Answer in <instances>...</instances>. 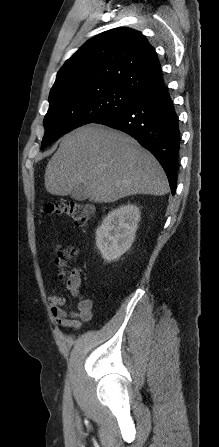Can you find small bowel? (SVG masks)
Listing matches in <instances>:
<instances>
[{"label": "small bowel", "instance_id": "obj_1", "mask_svg": "<svg viewBox=\"0 0 219 447\" xmlns=\"http://www.w3.org/2000/svg\"><path fill=\"white\" fill-rule=\"evenodd\" d=\"M61 249V245H56L54 251ZM80 276L76 282L67 281V289L72 296L78 299V309L76 312L68 313L63 309L65 299L59 295L49 297L51 313L55 320L63 327L78 328L82 322H87L92 317V301L80 293Z\"/></svg>", "mask_w": 219, "mask_h": 447}]
</instances>
